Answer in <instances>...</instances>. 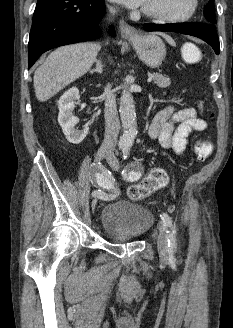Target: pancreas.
Here are the masks:
<instances>
[{
	"mask_svg": "<svg viewBox=\"0 0 233 328\" xmlns=\"http://www.w3.org/2000/svg\"><path fill=\"white\" fill-rule=\"evenodd\" d=\"M152 76L154 84L160 88H166L171 84L170 78L165 75L154 73Z\"/></svg>",
	"mask_w": 233,
	"mask_h": 328,
	"instance_id": "obj_1",
	"label": "pancreas"
}]
</instances>
